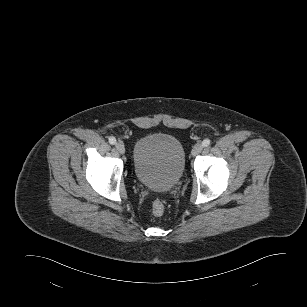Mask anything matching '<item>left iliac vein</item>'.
<instances>
[{
  "label": "left iliac vein",
  "mask_w": 307,
  "mask_h": 307,
  "mask_svg": "<svg viewBox=\"0 0 307 307\" xmlns=\"http://www.w3.org/2000/svg\"><path fill=\"white\" fill-rule=\"evenodd\" d=\"M202 149L203 147L201 144H195L191 151L192 156L198 155L202 151Z\"/></svg>",
  "instance_id": "1"
}]
</instances>
